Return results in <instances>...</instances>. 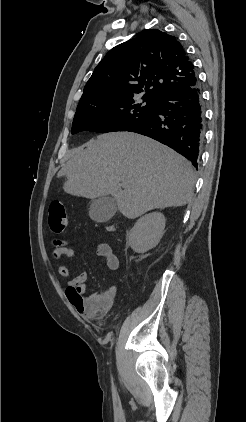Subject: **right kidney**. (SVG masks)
I'll return each instance as SVG.
<instances>
[{
    "label": "right kidney",
    "instance_id": "obj_1",
    "mask_svg": "<svg viewBox=\"0 0 246 422\" xmlns=\"http://www.w3.org/2000/svg\"><path fill=\"white\" fill-rule=\"evenodd\" d=\"M166 219L160 212H153L141 217L128 235L132 250L145 253L154 248L164 234Z\"/></svg>",
    "mask_w": 246,
    "mask_h": 422
}]
</instances>
